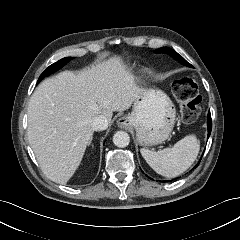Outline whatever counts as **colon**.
Instances as JSON below:
<instances>
[{"instance_id": "5ec220e1", "label": "colon", "mask_w": 240, "mask_h": 240, "mask_svg": "<svg viewBox=\"0 0 240 240\" xmlns=\"http://www.w3.org/2000/svg\"><path fill=\"white\" fill-rule=\"evenodd\" d=\"M172 90L180 102L182 120L187 124L194 123L201 112L197 81L191 77L177 78L172 83Z\"/></svg>"}]
</instances>
